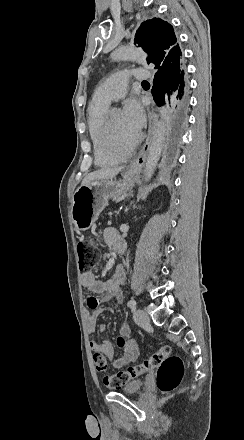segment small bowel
<instances>
[{"label": "small bowel", "instance_id": "small-bowel-1", "mask_svg": "<svg viewBox=\"0 0 244 440\" xmlns=\"http://www.w3.org/2000/svg\"><path fill=\"white\" fill-rule=\"evenodd\" d=\"M104 240L109 247L114 249L121 245V237L118 231L112 227L105 229ZM124 281L125 270L122 266H118L112 278L107 281L97 280L93 273H83L81 275L83 287L92 293L87 300V307L92 310V313L87 317V330L90 335H93L96 330L100 334L105 333V325L97 327V319L103 311H115V307L106 306V303L111 301L120 302L122 300ZM119 333L126 334L129 345L127 348H121L123 353L118 357L116 356L115 347L111 342L96 341L94 339H91L89 342L91 350L103 353L112 361L116 369L135 361L138 355L136 346L130 339L131 330L127 323L121 325Z\"/></svg>", "mask_w": 244, "mask_h": 440}]
</instances>
